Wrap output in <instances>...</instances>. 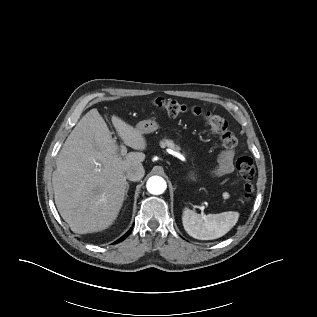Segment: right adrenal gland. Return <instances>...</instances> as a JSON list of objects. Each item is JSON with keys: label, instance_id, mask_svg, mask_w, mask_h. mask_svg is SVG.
Returning <instances> with one entry per match:
<instances>
[{"label": "right adrenal gland", "instance_id": "obj_1", "mask_svg": "<svg viewBox=\"0 0 317 317\" xmlns=\"http://www.w3.org/2000/svg\"><path fill=\"white\" fill-rule=\"evenodd\" d=\"M129 190V184L127 183V188H126V198L128 197L127 192Z\"/></svg>", "mask_w": 317, "mask_h": 317}]
</instances>
